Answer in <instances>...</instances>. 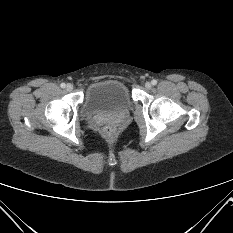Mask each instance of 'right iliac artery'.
<instances>
[{
    "mask_svg": "<svg viewBox=\"0 0 233 233\" xmlns=\"http://www.w3.org/2000/svg\"><path fill=\"white\" fill-rule=\"evenodd\" d=\"M60 87H61V88H65V87H66V84H65V83H61Z\"/></svg>",
    "mask_w": 233,
    "mask_h": 233,
    "instance_id": "82829eb1",
    "label": "right iliac artery"
}]
</instances>
